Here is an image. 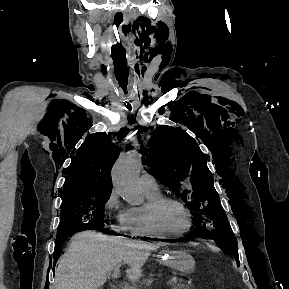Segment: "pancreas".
I'll return each instance as SVG.
<instances>
[{
  "mask_svg": "<svg viewBox=\"0 0 289 289\" xmlns=\"http://www.w3.org/2000/svg\"><path fill=\"white\" fill-rule=\"evenodd\" d=\"M176 281H177L176 279H171L169 281V283L173 285V287H174L173 289H192L190 286H187V285H184L181 283H177Z\"/></svg>",
  "mask_w": 289,
  "mask_h": 289,
  "instance_id": "pancreas-1",
  "label": "pancreas"
}]
</instances>
